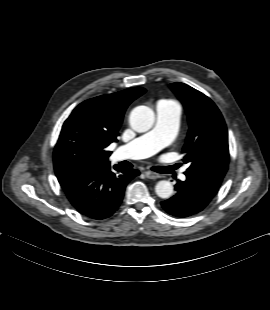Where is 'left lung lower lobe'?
Listing matches in <instances>:
<instances>
[{"mask_svg":"<svg viewBox=\"0 0 270 310\" xmlns=\"http://www.w3.org/2000/svg\"><path fill=\"white\" fill-rule=\"evenodd\" d=\"M187 179L175 185L176 194L163 201L165 211L176 217H188L204 210L218 192L222 179L185 173Z\"/></svg>","mask_w":270,"mask_h":310,"instance_id":"left-lung-lower-lobe-1","label":"left lung lower lobe"}]
</instances>
